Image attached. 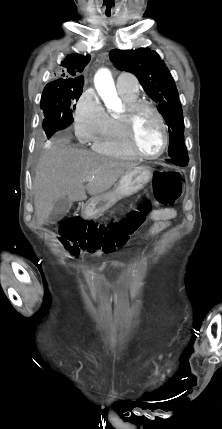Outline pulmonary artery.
I'll list each match as a JSON object with an SVG mask.
<instances>
[{
	"mask_svg": "<svg viewBox=\"0 0 222 429\" xmlns=\"http://www.w3.org/2000/svg\"><path fill=\"white\" fill-rule=\"evenodd\" d=\"M117 89L123 92H138V83L130 74H120L117 78Z\"/></svg>",
	"mask_w": 222,
	"mask_h": 429,
	"instance_id": "obj_1",
	"label": "pulmonary artery"
}]
</instances>
